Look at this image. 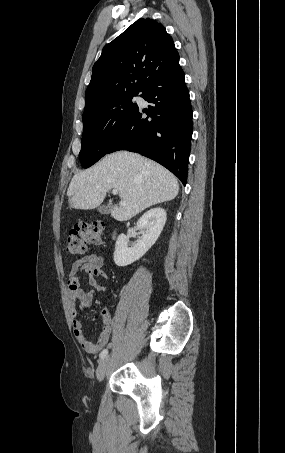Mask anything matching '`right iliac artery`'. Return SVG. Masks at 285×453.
I'll list each match as a JSON object with an SVG mask.
<instances>
[{
  "instance_id": "82829eb1",
  "label": "right iliac artery",
  "mask_w": 285,
  "mask_h": 453,
  "mask_svg": "<svg viewBox=\"0 0 285 453\" xmlns=\"http://www.w3.org/2000/svg\"><path fill=\"white\" fill-rule=\"evenodd\" d=\"M108 353V350L107 349H104L101 353H100V359H103Z\"/></svg>"
}]
</instances>
